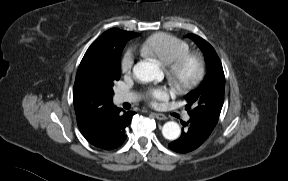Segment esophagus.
Listing matches in <instances>:
<instances>
[{
  "label": "esophagus",
  "instance_id": "34e87169",
  "mask_svg": "<svg viewBox=\"0 0 288 181\" xmlns=\"http://www.w3.org/2000/svg\"><path fill=\"white\" fill-rule=\"evenodd\" d=\"M153 115L155 116V118H157L158 120H166L167 116L162 114V113H153Z\"/></svg>",
  "mask_w": 288,
  "mask_h": 181
}]
</instances>
